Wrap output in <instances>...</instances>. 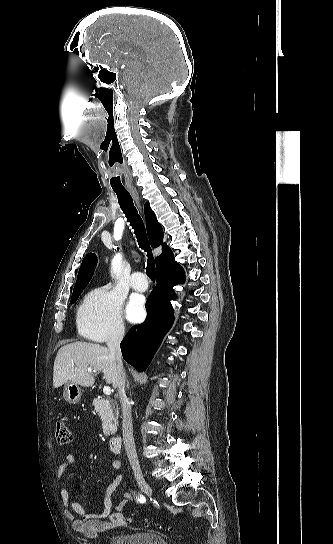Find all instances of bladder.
Instances as JSON below:
<instances>
[{
  "label": "bladder",
  "instance_id": "31cf9c89",
  "mask_svg": "<svg viewBox=\"0 0 333 544\" xmlns=\"http://www.w3.org/2000/svg\"><path fill=\"white\" fill-rule=\"evenodd\" d=\"M107 544H167L164 538L150 531H127L110 535Z\"/></svg>",
  "mask_w": 333,
  "mask_h": 544
}]
</instances>
